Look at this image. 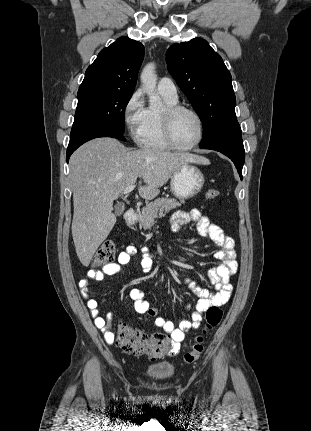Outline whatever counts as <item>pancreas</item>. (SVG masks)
I'll return each mask as SVG.
<instances>
[{"label":"pancreas","instance_id":"cf45deb5","mask_svg":"<svg viewBox=\"0 0 311 431\" xmlns=\"http://www.w3.org/2000/svg\"><path fill=\"white\" fill-rule=\"evenodd\" d=\"M181 204H185L184 200L177 202L174 198H157V200H154L151 204H146L141 212H138L140 216V225H142L143 229H152L156 217L166 216L173 208H179Z\"/></svg>","mask_w":311,"mask_h":431}]
</instances>
